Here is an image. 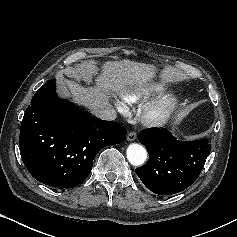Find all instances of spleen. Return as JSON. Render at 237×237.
<instances>
[{"mask_svg":"<svg viewBox=\"0 0 237 237\" xmlns=\"http://www.w3.org/2000/svg\"><path fill=\"white\" fill-rule=\"evenodd\" d=\"M178 134H181V135H182V134H183V132L179 131V132H178Z\"/></svg>","mask_w":237,"mask_h":237,"instance_id":"3e777b00","label":"spleen"}]
</instances>
